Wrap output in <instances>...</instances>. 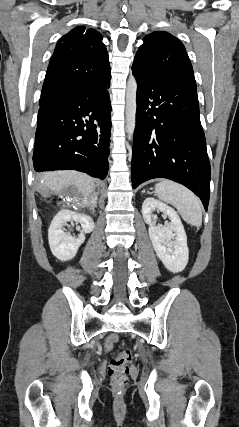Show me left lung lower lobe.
I'll use <instances>...</instances> for the list:
<instances>
[{"instance_id": "1", "label": "left lung lower lobe", "mask_w": 239, "mask_h": 427, "mask_svg": "<svg viewBox=\"0 0 239 427\" xmlns=\"http://www.w3.org/2000/svg\"><path fill=\"white\" fill-rule=\"evenodd\" d=\"M132 72L137 80L133 188L153 178H167L193 191L207 210L211 173L197 92L135 66Z\"/></svg>"}]
</instances>
